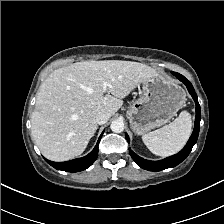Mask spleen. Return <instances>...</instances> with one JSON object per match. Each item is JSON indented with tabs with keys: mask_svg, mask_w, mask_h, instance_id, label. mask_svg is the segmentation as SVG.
<instances>
[{
	"mask_svg": "<svg viewBox=\"0 0 224 224\" xmlns=\"http://www.w3.org/2000/svg\"><path fill=\"white\" fill-rule=\"evenodd\" d=\"M191 132V115L187 111H182L173 122L143 135L142 140L153 154L167 157L184 147Z\"/></svg>",
	"mask_w": 224,
	"mask_h": 224,
	"instance_id": "1",
	"label": "spleen"
}]
</instances>
